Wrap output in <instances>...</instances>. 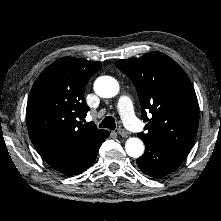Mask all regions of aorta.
Wrapping results in <instances>:
<instances>
[{
	"instance_id": "762f6f07",
	"label": "aorta",
	"mask_w": 221,
	"mask_h": 221,
	"mask_svg": "<svg viewBox=\"0 0 221 221\" xmlns=\"http://www.w3.org/2000/svg\"><path fill=\"white\" fill-rule=\"evenodd\" d=\"M94 91L100 97L111 98L118 94L119 84L110 76H102L95 81ZM125 150L130 157L138 158L144 152V144L139 138H129L126 141Z\"/></svg>"
}]
</instances>
